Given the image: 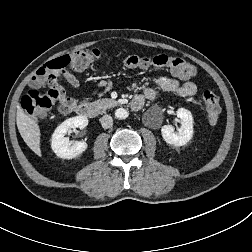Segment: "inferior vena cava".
Wrapping results in <instances>:
<instances>
[{"label": "inferior vena cava", "mask_w": 252, "mask_h": 252, "mask_svg": "<svg viewBox=\"0 0 252 252\" xmlns=\"http://www.w3.org/2000/svg\"><path fill=\"white\" fill-rule=\"evenodd\" d=\"M101 125L104 129H108L110 127H112L113 125V119L110 115H104L101 119H100Z\"/></svg>", "instance_id": "1"}]
</instances>
